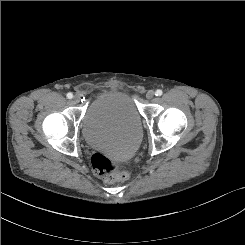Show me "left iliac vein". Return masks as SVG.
I'll list each match as a JSON object with an SVG mask.
<instances>
[{
    "label": "left iliac vein",
    "mask_w": 245,
    "mask_h": 245,
    "mask_svg": "<svg viewBox=\"0 0 245 245\" xmlns=\"http://www.w3.org/2000/svg\"><path fill=\"white\" fill-rule=\"evenodd\" d=\"M155 93L153 90H149L147 93H146V97L147 99H152L154 97Z\"/></svg>",
    "instance_id": "left-iliac-vein-1"
}]
</instances>
